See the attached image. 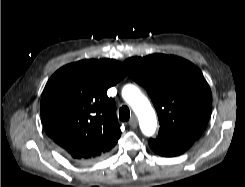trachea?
<instances>
[{
	"instance_id": "obj_1",
	"label": "trachea",
	"mask_w": 245,
	"mask_h": 187,
	"mask_svg": "<svg viewBox=\"0 0 245 187\" xmlns=\"http://www.w3.org/2000/svg\"><path fill=\"white\" fill-rule=\"evenodd\" d=\"M130 118V110L127 106H122L119 109V119L122 121H128Z\"/></svg>"
}]
</instances>
